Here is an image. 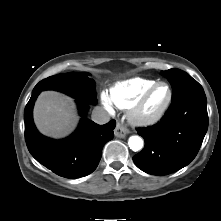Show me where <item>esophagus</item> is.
Here are the masks:
<instances>
[{"instance_id": "obj_1", "label": "esophagus", "mask_w": 221, "mask_h": 221, "mask_svg": "<svg viewBox=\"0 0 221 221\" xmlns=\"http://www.w3.org/2000/svg\"><path fill=\"white\" fill-rule=\"evenodd\" d=\"M114 134L118 138H124L128 134L127 128L120 124L119 122L116 124V128L114 130Z\"/></svg>"}]
</instances>
